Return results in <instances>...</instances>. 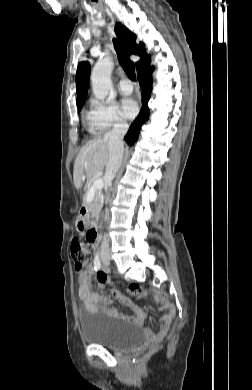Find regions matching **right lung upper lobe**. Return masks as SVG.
Segmentation results:
<instances>
[{
  "label": "right lung upper lobe",
  "mask_w": 252,
  "mask_h": 390,
  "mask_svg": "<svg viewBox=\"0 0 252 390\" xmlns=\"http://www.w3.org/2000/svg\"><path fill=\"white\" fill-rule=\"evenodd\" d=\"M115 32L120 41L125 45L129 54L139 55L140 61L136 63L137 73L143 68L150 66L149 56L145 53L144 44H136V35L131 33L121 23L115 25ZM90 74V64L88 62H81L78 65L76 73V87H77V106L80 108L85 102L87 95L88 80Z\"/></svg>",
  "instance_id": "cb5924a9"
}]
</instances>
